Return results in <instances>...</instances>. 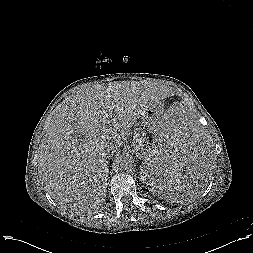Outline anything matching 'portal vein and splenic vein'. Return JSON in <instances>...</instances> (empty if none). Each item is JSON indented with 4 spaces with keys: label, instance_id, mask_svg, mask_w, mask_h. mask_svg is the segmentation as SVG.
<instances>
[{
    "label": "portal vein and splenic vein",
    "instance_id": "obj_1",
    "mask_svg": "<svg viewBox=\"0 0 253 253\" xmlns=\"http://www.w3.org/2000/svg\"><path fill=\"white\" fill-rule=\"evenodd\" d=\"M138 142H139V144H140V143H142V139H141V138H140V139H138Z\"/></svg>",
    "mask_w": 253,
    "mask_h": 253
}]
</instances>
